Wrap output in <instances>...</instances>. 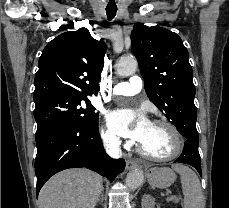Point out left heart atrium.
Here are the masks:
<instances>
[{"label": "left heart atrium", "instance_id": "left-heart-atrium-1", "mask_svg": "<svg viewBox=\"0 0 229 208\" xmlns=\"http://www.w3.org/2000/svg\"><path fill=\"white\" fill-rule=\"evenodd\" d=\"M110 127L118 134L142 141L146 136L151 122L143 113L120 109L110 113Z\"/></svg>", "mask_w": 229, "mask_h": 208}]
</instances>
